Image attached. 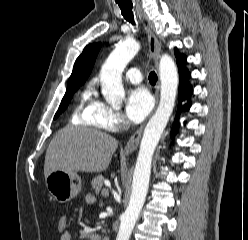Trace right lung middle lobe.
Segmentation results:
<instances>
[{
  "instance_id": "obj_1",
  "label": "right lung middle lobe",
  "mask_w": 248,
  "mask_h": 240,
  "mask_svg": "<svg viewBox=\"0 0 248 240\" xmlns=\"http://www.w3.org/2000/svg\"><path fill=\"white\" fill-rule=\"evenodd\" d=\"M82 85V82L77 81V80H72V81H68L67 84V89H66V93L62 99V102L59 106V109L57 111V113L54 116V119H56L60 113H62L66 107L68 106L73 94L77 91V89Z\"/></svg>"
}]
</instances>
